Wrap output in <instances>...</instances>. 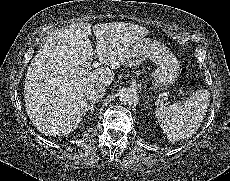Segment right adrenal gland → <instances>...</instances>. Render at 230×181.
Wrapping results in <instances>:
<instances>
[{
  "mask_svg": "<svg viewBox=\"0 0 230 181\" xmlns=\"http://www.w3.org/2000/svg\"><path fill=\"white\" fill-rule=\"evenodd\" d=\"M98 103V101H92L90 102V104H88L87 106V112L90 111V114H93V111H94V105Z\"/></svg>",
  "mask_w": 230,
  "mask_h": 181,
  "instance_id": "2a0ac1e0",
  "label": "right adrenal gland"
}]
</instances>
